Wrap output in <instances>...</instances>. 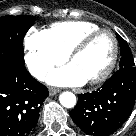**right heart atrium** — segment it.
Segmentation results:
<instances>
[{"label": "right heart atrium", "mask_w": 136, "mask_h": 136, "mask_svg": "<svg viewBox=\"0 0 136 136\" xmlns=\"http://www.w3.org/2000/svg\"><path fill=\"white\" fill-rule=\"evenodd\" d=\"M25 64L29 72L42 79L56 65L63 63L66 55L49 40L45 31L29 30L24 38Z\"/></svg>", "instance_id": "right-heart-atrium-1"}]
</instances>
